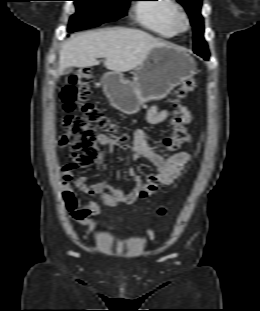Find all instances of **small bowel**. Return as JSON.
I'll return each instance as SVG.
<instances>
[{
  "instance_id": "c3829d8e",
  "label": "small bowel",
  "mask_w": 260,
  "mask_h": 311,
  "mask_svg": "<svg viewBox=\"0 0 260 311\" xmlns=\"http://www.w3.org/2000/svg\"><path fill=\"white\" fill-rule=\"evenodd\" d=\"M168 117L169 111L156 105H152L146 113V120L154 125L166 121ZM180 119L184 125L189 124L191 121V114L185 107L180 109ZM188 143H194L192 137H189ZM102 145L106 146L111 154L118 149H130L133 159H144L150 162L155 167L156 173L149 174L143 180L136 173L135 168L130 166L127 173L131 177L132 183L128 188L122 189L107 181L92 182L85 176H75L79 166L76 163L66 164L62 168L61 187L63 198L72 218L83 226H106V224H99L91 219L92 216L100 212L99 202L105 206L113 207L121 203L131 205L138 200H143L156 193L160 187L172 184L191 159V155L185 151L168 157H163L152 151L147 143V134L142 129L134 131L131 144L120 143L111 137L104 136ZM77 191L97 197L99 202L81 200L77 196Z\"/></svg>"
}]
</instances>
